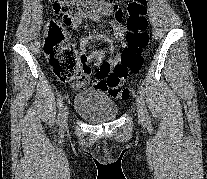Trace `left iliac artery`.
<instances>
[{
  "label": "left iliac artery",
  "instance_id": "left-iliac-artery-1",
  "mask_svg": "<svg viewBox=\"0 0 207 179\" xmlns=\"http://www.w3.org/2000/svg\"><path fill=\"white\" fill-rule=\"evenodd\" d=\"M139 93H140V96H141V100H142V102H143V104H144V96H145V89L143 88V86H140L139 87ZM145 114H146V119H147V121H150V116L148 115V112H147V110L145 109Z\"/></svg>",
  "mask_w": 207,
  "mask_h": 179
}]
</instances>
